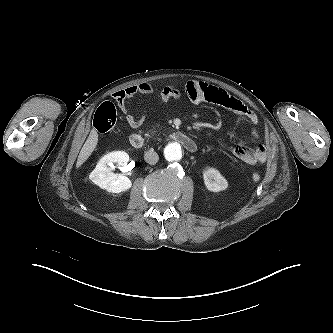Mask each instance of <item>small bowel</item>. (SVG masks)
Instances as JSON below:
<instances>
[{
  "label": "small bowel",
  "instance_id": "obj_1",
  "mask_svg": "<svg viewBox=\"0 0 333 333\" xmlns=\"http://www.w3.org/2000/svg\"><path fill=\"white\" fill-rule=\"evenodd\" d=\"M136 95L153 96L159 102L180 99L185 95L193 103L209 102L222 106L246 119L250 123L253 139L259 142V132L257 129L258 117L255 112L242 101L230 96L220 88L203 82L190 81L186 84L184 92L172 86L156 88L149 83H141L119 90L115 92L112 97L125 114L127 124L133 129L140 127L146 117L144 112L139 116H134L130 113L129 103ZM231 151L234 156L249 165L263 164L267 160V149L261 143H259L256 148H250L246 145H237L233 147Z\"/></svg>",
  "mask_w": 333,
  "mask_h": 333
}]
</instances>
